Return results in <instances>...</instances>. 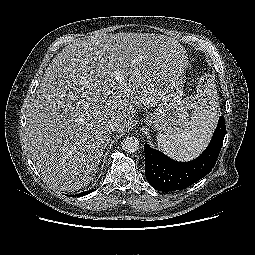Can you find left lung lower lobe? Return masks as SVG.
I'll use <instances>...</instances> for the list:
<instances>
[{"instance_id":"1","label":"left lung lower lobe","mask_w":255,"mask_h":255,"mask_svg":"<svg viewBox=\"0 0 255 255\" xmlns=\"http://www.w3.org/2000/svg\"><path fill=\"white\" fill-rule=\"evenodd\" d=\"M225 130V119L220 117L206 150L189 162L175 161L145 144V176L148 183L158 191L168 192L185 189L206 176L217 161Z\"/></svg>"}]
</instances>
